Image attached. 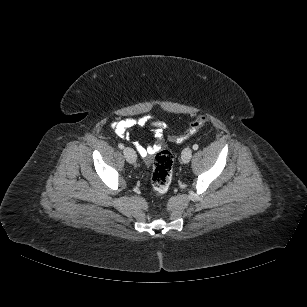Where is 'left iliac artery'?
<instances>
[{
	"mask_svg": "<svg viewBox=\"0 0 307 307\" xmlns=\"http://www.w3.org/2000/svg\"><path fill=\"white\" fill-rule=\"evenodd\" d=\"M193 149H194V150H197V149H198V145H197V144H194V145H193Z\"/></svg>",
	"mask_w": 307,
	"mask_h": 307,
	"instance_id": "44dca946",
	"label": "left iliac artery"
}]
</instances>
